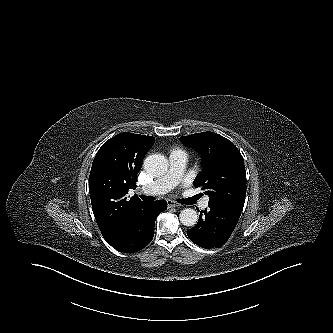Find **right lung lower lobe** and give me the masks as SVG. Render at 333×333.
Wrapping results in <instances>:
<instances>
[{"label": "right lung lower lobe", "mask_w": 333, "mask_h": 333, "mask_svg": "<svg viewBox=\"0 0 333 333\" xmlns=\"http://www.w3.org/2000/svg\"><path fill=\"white\" fill-rule=\"evenodd\" d=\"M167 208L163 200L137 207L124 222L120 233L109 244L121 252H136L146 247L154 235L157 215Z\"/></svg>", "instance_id": "obj_1"}]
</instances>
